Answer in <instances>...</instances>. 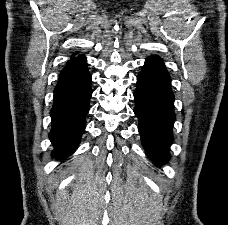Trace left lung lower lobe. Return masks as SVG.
<instances>
[{
  "mask_svg": "<svg viewBox=\"0 0 228 225\" xmlns=\"http://www.w3.org/2000/svg\"><path fill=\"white\" fill-rule=\"evenodd\" d=\"M134 99V113L139 119L138 130L146 154L156 163L168 161L175 121L174 94L170 75L160 57L146 59L137 77Z\"/></svg>",
  "mask_w": 228,
  "mask_h": 225,
  "instance_id": "0a47b994",
  "label": "left lung lower lobe"
}]
</instances>
